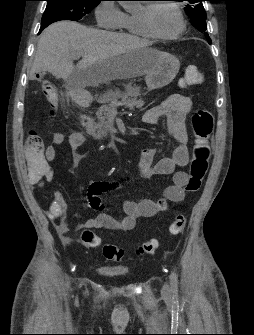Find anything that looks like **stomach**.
I'll return each mask as SVG.
<instances>
[{
	"instance_id": "stomach-1",
	"label": "stomach",
	"mask_w": 254,
	"mask_h": 335,
	"mask_svg": "<svg viewBox=\"0 0 254 335\" xmlns=\"http://www.w3.org/2000/svg\"><path fill=\"white\" fill-rule=\"evenodd\" d=\"M149 52L154 57V64L146 73L145 82L151 91L170 84L179 72L180 62L177 57L164 51L149 48ZM79 95L78 92L74 93L75 97Z\"/></svg>"
}]
</instances>
